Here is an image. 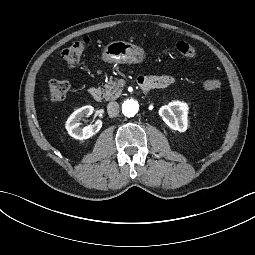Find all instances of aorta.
I'll use <instances>...</instances> for the list:
<instances>
[{
	"mask_svg": "<svg viewBox=\"0 0 255 255\" xmlns=\"http://www.w3.org/2000/svg\"><path fill=\"white\" fill-rule=\"evenodd\" d=\"M139 110V104L135 100H127L122 105V112L126 117H133Z\"/></svg>",
	"mask_w": 255,
	"mask_h": 255,
	"instance_id": "aorta-1",
	"label": "aorta"
}]
</instances>
